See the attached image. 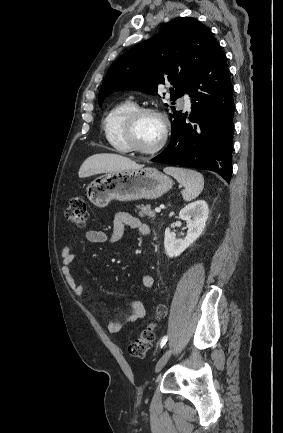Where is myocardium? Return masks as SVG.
Listing matches in <instances>:
<instances>
[{"instance_id": "myocardium-1", "label": "myocardium", "mask_w": 283, "mask_h": 433, "mask_svg": "<svg viewBox=\"0 0 283 433\" xmlns=\"http://www.w3.org/2000/svg\"><path fill=\"white\" fill-rule=\"evenodd\" d=\"M146 114H153L157 116L158 118L161 119L163 123V131H162L161 139L158 145L156 146V148L153 150L142 149L135 139V130H136L137 123L139 119ZM169 131H170V121L164 112H162L161 110L155 107L143 106V107L135 108L126 116L122 126L121 134H122V139L126 144V146L128 147L129 151L142 157H156L165 150Z\"/></svg>"}]
</instances>
